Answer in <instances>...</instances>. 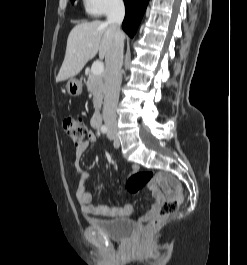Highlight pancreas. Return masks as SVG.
<instances>
[{"label": "pancreas", "instance_id": "cf45deb5", "mask_svg": "<svg viewBox=\"0 0 247 265\" xmlns=\"http://www.w3.org/2000/svg\"><path fill=\"white\" fill-rule=\"evenodd\" d=\"M86 86L88 92H90L94 96L93 105L95 112L98 113L101 109L105 96V78L103 75H94L92 71H90L88 74Z\"/></svg>", "mask_w": 247, "mask_h": 265}]
</instances>
